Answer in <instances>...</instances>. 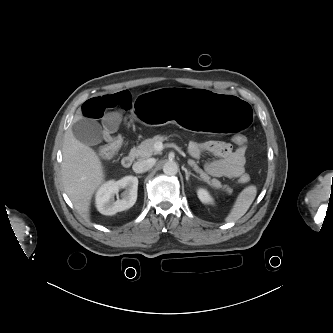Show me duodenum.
<instances>
[{"instance_id": "410a0bca", "label": "duodenum", "mask_w": 333, "mask_h": 333, "mask_svg": "<svg viewBox=\"0 0 333 333\" xmlns=\"http://www.w3.org/2000/svg\"><path fill=\"white\" fill-rule=\"evenodd\" d=\"M134 161V155L133 154H127L126 156L123 157L122 159V165L125 168H129Z\"/></svg>"}]
</instances>
